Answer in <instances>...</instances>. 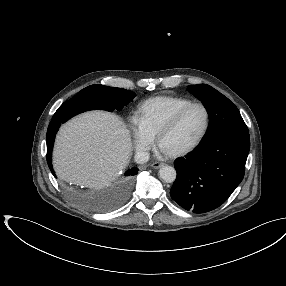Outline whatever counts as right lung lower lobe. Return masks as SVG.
Listing matches in <instances>:
<instances>
[{
    "mask_svg": "<svg viewBox=\"0 0 286 286\" xmlns=\"http://www.w3.org/2000/svg\"><path fill=\"white\" fill-rule=\"evenodd\" d=\"M61 123H63L61 120L52 118V121L50 122L48 130H47V136H46L47 162H48V166H49V168H50V170L54 176H55V173L52 169V164H51L52 148H53V142H54L55 135H56L57 130H58ZM137 173H138V169L134 167V168L126 171L125 176L130 178L131 176L137 175Z\"/></svg>",
    "mask_w": 286,
    "mask_h": 286,
    "instance_id": "98d812e1",
    "label": "right lung lower lobe"
}]
</instances>
